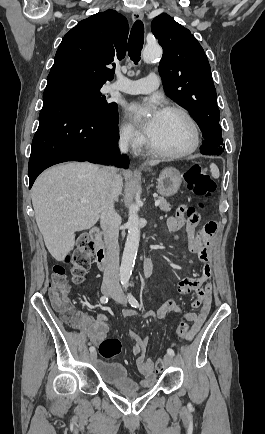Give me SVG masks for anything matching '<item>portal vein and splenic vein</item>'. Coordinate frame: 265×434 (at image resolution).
Masks as SVG:
<instances>
[{"mask_svg":"<svg viewBox=\"0 0 265 434\" xmlns=\"http://www.w3.org/2000/svg\"><path fill=\"white\" fill-rule=\"evenodd\" d=\"M80 202H81V204H85V202H86L85 198H81ZM159 204H160L159 200H156L155 206H159Z\"/></svg>","mask_w":265,"mask_h":434,"instance_id":"1","label":"portal vein and splenic vein"}]
</instances>
